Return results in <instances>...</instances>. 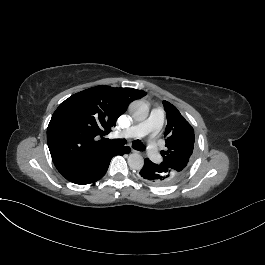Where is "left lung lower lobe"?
<instances>
[{"label": "left lung lower lobe", "mask_w": 265, "mask_h": 265, "mask_svg": "<svg viewBox=\"0 0 265 265\" xmlns=\"http://www.w3.org/2000/svg\"><path fill=\"white\" fill-rule=\"evenodd\" d=\"M141 178L154 186H165L175 183L177 180L172 171L164 164H155L148 158L145 159L144 166L140 171Z\"/></svg>", "instance_id": "obj_1"}]
</instances>
